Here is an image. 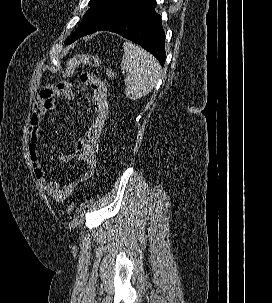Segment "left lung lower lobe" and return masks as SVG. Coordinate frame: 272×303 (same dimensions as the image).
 Returning <instances> with one entry per match:
<instances>
[{"label": "left lung lower lobe", "mask_w": 272, "mask_h": 303, "mask_svg": "<svg viewBox=\"0 0 272 303\" xmlns=\"http://www.w3.org/2000/svg\"><path fill=\"white\" fill-rule=\"evenodd\" d=\"M155 7V0H142L102 21L81 37L97 31L115 32L151 52L163 66L166 56L164 30L161 17L154 10Z\"/></svg>", "instance_id": "0a47b994"}]
</instances>
